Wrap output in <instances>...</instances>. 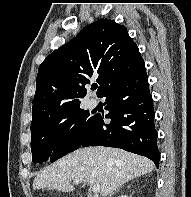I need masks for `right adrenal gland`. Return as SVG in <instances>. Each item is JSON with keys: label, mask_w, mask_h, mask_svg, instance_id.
<instances>
[{"label": "right adrenal gland", "mask_w": 191, "mask_h": 197, "mask_svg": "<svg viewBox=\"0 0 191 197\" xmlns=\"http://www.w3.org/2000/svg\"><path fill=\"white\" fill-rule=\"evenodd\" d=\"M122 187H123V186L118 187L113 193L119 191ZM128 188H130V187L128 186ZM113 193H112V194H113ZM112 194H111V195H112ZM111 195H110L109 197H111Z\"/></svg>", "instance_id": "2a0ac1e0"}]
</instances>
